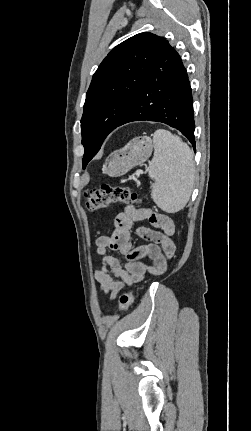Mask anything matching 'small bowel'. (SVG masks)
Here are the masks:
<instances>
[{
	"label": "small bowel",
	"mask_w": 251,
	"mask_h": 431,
	"mask_svg": "<svg viewBox=\"0 0 251 431\" xmlns=\"http://www.w3.org/2000/svg\"><path fill=\"white\" fill-rule=\"evenodd\" d=\"M146 219L161 231L146 227L138 228L137 234L149 243L133 248L130 230L134 223ZM174 231V223L166 215L133 206H127L121 211L115 218L113 232L100 236L95 243L96 254L102 258V263L94 274L101 292L113 300L125 286L142 281L147 273L154 275L164 273L168 260L173 257L176 250L172 240ZM111 251H118L123 255L126 259L125 264L122 265L117 258L110 255ZM145 257L152 260V265H146L141 261Z\"/></svg>",
	"instance_id": "small-bowel-1"
}]
</instances>
